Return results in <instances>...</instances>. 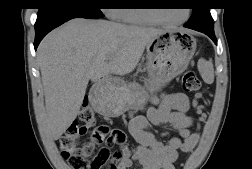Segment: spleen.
I'll list each match as a JSON object with an SVG mask.
<instances>
[{
	"instance_id": "obj_1",
	"label": "spleen",
	"mask_w": 252,
	"mask_h": 169,
	"mask_svg": "<svg viewBox=\"0 0 252 169\" xmlns=\"http://www.w3.org/2000/svg\"><path fill=\"white\" fill-rule=\"evenodd\" d=\"M197 66L204 82L207 84H212L214 82V68L212 61L200 59Z\"/></svg>"
}]
</instances>
